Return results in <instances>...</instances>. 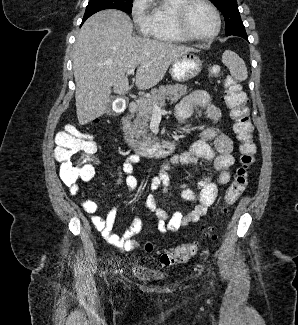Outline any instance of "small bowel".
Masks as SVG:
<instances>
[{"label": "small bowel", "mask_w": 298, "mask_h": 325, "mask_svg": "<svg viewBox=\"0 0 298 325\" xmlns=\"http://www.w3.org/2000/svg\"><path fill=\"white\" fill-rule=\"evenodd\" d=\"M195 108L202 109L208 117L218 123L222 114L211 100L210 95L203 90H196L184 97L177 107V118L184 121L189 118ZM213 142V147L210 143ZM232 139L218 128L206 127L200 132L199 139L194 142L190 148L164 163L150 183V192L146 196L145 205L157 218V229L160 233L176 231L182 227L197 222L203 217L208 208L215 202L220 185H225L230 181V169L234 164ZM139 154H130L117 167L119 175L118 184L124 183L127 192L130 193L137 187L138 181L134 176L135 165L140 161ZM198 159L210 161L217 172L216 176L204 175L193 188L187 184L180 187L181 195L184 200L191 202L193 207L183 213L180 210H174L169 213L170 203L166 202L160 205L157 202L156 193L161 191L164 196L167 195L170 185L168 171L172 166L178 164H196ZM70 193L78 195L81 193L78 185L70 186ZM83 210L91 216V222L94 228L101 233V236L114 247L131 251L138 246L133 239L142 229V221L139 217H134L130 227L121 235L113 233V227L117 214V207H113L105 218L98 216V205L92 200L82 202Z\"/></svg>", "instance_id": "obj_1"}]
</instances>
